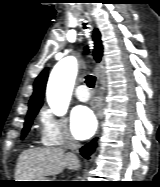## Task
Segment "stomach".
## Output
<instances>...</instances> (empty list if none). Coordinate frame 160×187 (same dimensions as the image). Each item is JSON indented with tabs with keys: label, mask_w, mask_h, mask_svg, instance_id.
I'll list each match as a JSON object with an SVG mask.
<instances>
[{
	"label": "stomach",
	"mask_w": 160,
	"mask_h": 187,
	"mask_svg": "<svg viewBox=\"0 0 160 187\" xmlns=\"http://www.w3.org/2000/svg\"><path fill=\"white\" fill-rule=\"evenodd\" d=\"M31 181H50V180H46L44 179H36V180H31ZM27 186H33V187H38V186H49L48 182H31L29 184H27Z\"/></svg>",
	"instance_id": "stomach-1"
}]
</instances>
